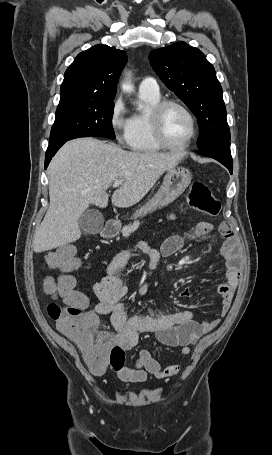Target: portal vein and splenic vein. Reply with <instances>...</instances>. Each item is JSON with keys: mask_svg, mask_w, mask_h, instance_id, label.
<instances>
[{"mask_svg": "<svg viewBox=\"0 0 272 455\" xmlns=\"http://www.w3.org/2000/svg\"><path fill=\"white\" fill-rule=\"evenodd\" d=\"M122 182L119 180L114 181L113 187H118Z\"/></svg>", "mask_w": 272, "mask_h": 455, "instance_id": "1", "label": "portal vein and splenic vein"}]
</instances>
